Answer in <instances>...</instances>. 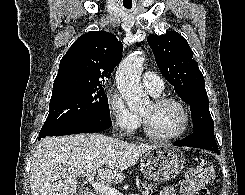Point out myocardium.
Wrapping results in <instances>:
<instances>
[{
  "instance_id": "obj_1",
  "label": "myocardium",
  "mask_w": 245,
  "mask_h": 195,
  "mask_svg": "<svg viewBox=\"0 0 245 195\" xmlns=\"http://www.w3.org/2000/svg\"><path fill=\"white\" fill-rule=\"evenodd\" d=\"M151 103L155 107H158V106H161L164 104H168V103L177 105L183 113L184 121H183L182 127L177 132H175L173 134H169V135H161V134H157V133L153 132L150 129L145 117L140 115L143 132L149 138L155 139V140H160V141H171V140H175L177 138H180L185 133H187V131L189 130L190 125H191V115H190V112H189L187 106L181 100L174 98V97H169V96H158V97H155L151 101Z\"/></svg>"
}]
</instances>
